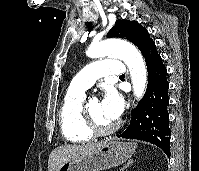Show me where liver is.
Wrapping results in <instances>:
<instances>
[{"mask_svg": "<svg viewBox=\"0 0 199 171\" xmlns=\"http://www.w3.org/2000/svg\"><path fill=\"white\" fill-rule=\"evenodd\" d=\"M107 141L82 145H64L55 148L49 155L48 171H58L63 163L92 154L103 147Z\"/></svg>", "mask_w": 199, "mask_h": 171, "instance_id": "1", "label": "liver"}]
</instances>
